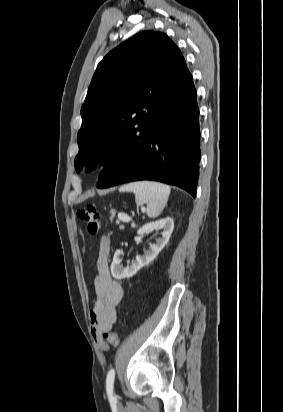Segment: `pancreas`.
<instances>
[{"instance_id":"cf45deb5","label":"pancreas","mask_w":283,"mask_h":412,"mask_svg":"<svg viewBox=\"0 0 283 412\" xmlns=\"http://www.w3.org/2000/svg\"><path fill=\"white\" fill-rule=\"evenodd\" d=\"M115 211H111V216H110V221L112 222L114 217H115ZM117 223H119V220H117Z\"/></svg>"}]
</instances>
